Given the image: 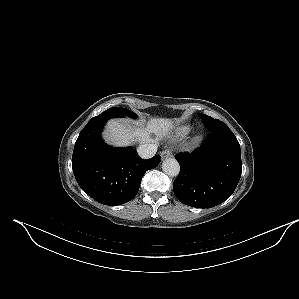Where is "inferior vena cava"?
Instances as JSON below:
<instances>
[{
    "mask_svg": "<svg viewBox=\"0 0 299 299\" xmlns=\"http://www.w3.org/2000/svg\"><path fill=\"white\" fill-rule=\"evenodd\" d=\"M157 144L146 143L138 147L137 151L141 158L148 159L153 157L157 152Z\"/></svg>",
    "mask_w": 299,
    "mask_h": 299,
    "instance_id": "1",
    "label": "inferior vena cava"
}]
</instances>
